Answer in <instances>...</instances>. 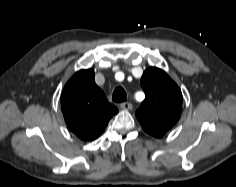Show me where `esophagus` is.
<instances>
[{"instance_id":"1","label":"esophagus","mask_w":236,"mask_h":187,"mask_svg":"<svg viewBox=\"0 0 236 187\" xmlns=\"http://www.w3.org/2000/svg\"><path fill=\"white\" fill-rule=\"evenodd\" d=\"M120 107L123 110H131L133 106L129 102H123V103H121Z\"/></svg>"}]
</instances>
